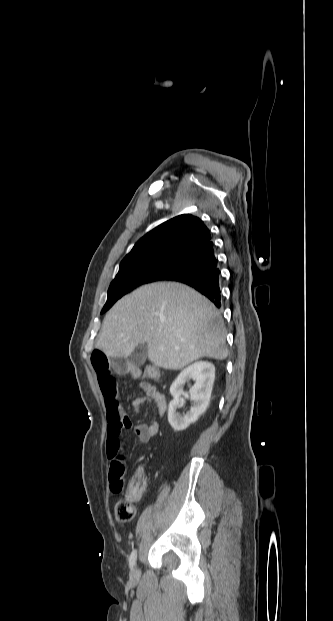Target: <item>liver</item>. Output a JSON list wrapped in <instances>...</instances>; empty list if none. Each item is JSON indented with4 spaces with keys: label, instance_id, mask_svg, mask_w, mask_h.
<instances>
[{
    "label": "liver",
    "instance_id": "obj_1",
    "mask_svg": "<svg viewBox=\"0 0 333 621\" xmlns=\"http://www.w3.org/2000/svg\"><path fill=\"white\" fill-rule=\"evenodd\" d=\"M146 343L158 367L179 370L194 360L228 356L226 331L216 307L192 288L176 282L142 286L106 314L96 348L127 358Z\"/></svg>",
    "mask_w": 333,
    "mask_h": 621
}]
</instances>
